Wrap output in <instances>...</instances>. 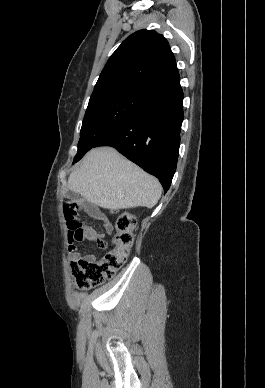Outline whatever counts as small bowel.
Returning a JSON list of instances; mask_svg holds the SVG:
<instances>
[{
    "mask_svg": "<svg viewBox=\"0 0 265 388\" xmlns=\"http://www.w3.org/2000/svg\"><path fill=\"white\" fill-rule=\"evenodd\" d=\"M87 213L91 217L101 221L103 223L104 229L107 233H110L113 230V226H112L111 222L109 221V219L97 208L88 207ZM87 229H88V233H89V236L87 239H89L91 241H95L99 248L105 249L107 247V244H106V241L104 239V235L96 232L95 230H93L91 228H87ZM72 258L73 259L84 258V259L89 260V261H95V256L93 254H87L85 256H80V254L76 251V249L74 247L72 249Z\"/></svg>",
    "mask_w": 265,
    "mask_h": 388,
    "instance_id": "small-bowel-1",
    "label": "small bowel"
}]
</instances>
